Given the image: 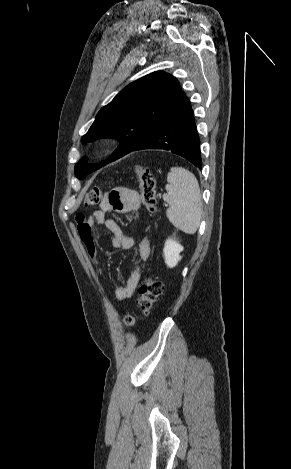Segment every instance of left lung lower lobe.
I'll list each match as a JSON object with an SVG mask.
<instances>
[{
	"label": "left lung lower lobe",
	"mask_w": 291,
	"mask_h": 469,
	"mask_svg": "<svg viewBox=\"0 0 291 469\" xmlns=\"http://www.w3.org/2000/svg\"><path fill=\"white\" fill-rule=\"evenodd\" d=\"M141 149L169 150L197 168H202L200 139L194 112L186 96L158 126L126 154Z\"/></svg>",
	"instance_id": "0a47b994"
}]
</instances>
